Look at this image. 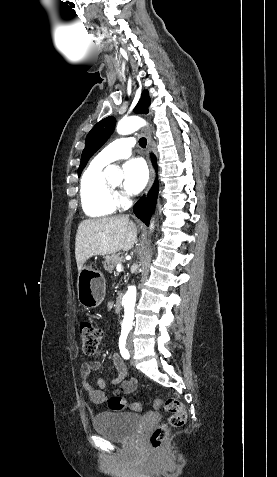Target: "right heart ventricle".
<instances>
[{"mask_svg":"<svg viewBox=\"0 0 277 477\" xmlns=\"http://www.w3.org/2000/svg\"><path fill=\"white\" fill-rule=\"evenodd\" d=\"M106 165L95 158L82 174L80 200L82 209L88 217H106L116 210L115 197L109 194L105 185Z\"/></svg>","mask_w":277,"mask_h":477,"instance_id":"1","label":"right heart ventricle"}]
</instances>
